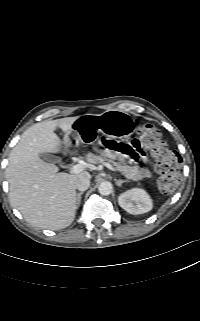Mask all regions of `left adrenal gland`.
<instances>
[{
  "label": "left adrenal gland",
  "instance_id": "a2214340",
  "mask_svg": "<svg viewBox=\"0 0 200 321\" xmlns=\"http://www.w3.org/2000/svg\"><path fill=\"white\" fill-rule=\"evenodd\" d=\"M115 181H116V185L119 187L122 185V183L128 182V180H115Z\"/></svg>",
  "mask_w": 200,
  "mask_h": 321
}]
</instances>
